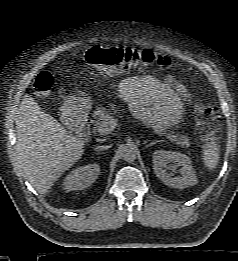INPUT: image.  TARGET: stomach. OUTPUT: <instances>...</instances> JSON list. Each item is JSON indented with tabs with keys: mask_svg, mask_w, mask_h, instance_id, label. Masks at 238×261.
I'll return each instance as SVG.
<instances>
[{
	"mask_svg": "<svg viewBox=\"0 0 238 261\" xmlns=\"http://www.w3.org/2000/svg\"><path fill=\"white\" fill-rule=\"evenodd\" d=\"M91 99L85 93L73 94L65 102L64 108L72 115L81 116L91 108Z\"/></svg>",
	"mask_w": 238,
	"mask_h": 261,
	"instance_id": "0dacf381",
	"label": "stomach"
}]
</instances>
